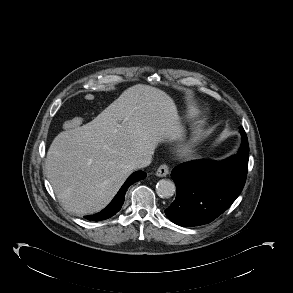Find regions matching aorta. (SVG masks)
I'll return each mask as SVG.
<instances>
[{"instance_id":"aorta-1","label":"aorta","mask_w":293,"mask_h":293,"mask_svg":"<svg viewBox=\"0 0 293 293\" xmlns=\"http://www.w3.org/2000/svg\"><path fill=\"white\" fill-rule=\"evenodd\" d=\"M175 191L174 182L168 179L159 180L156 185V193L161 198H170L174 195Z\"/></svg>"}]
</instances>
